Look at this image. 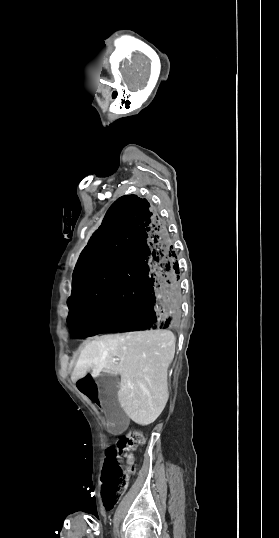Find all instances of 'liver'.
<instances>
[{"label":"liver","instance_id":"1","mask_svg":"<svg viewBox=\"0 0 279 538\" xmlns=\"http://www.w3.org/2000/svg\"><path fill=\"white\" fill-rule=\"evenodd\" d=\"M174 354L175 336L170 330L109 334L85 346L73 378H84L89 368L92 378L101 372L119 374L121 408L135 424L148 426L167 404V372Z\"/></svg>","mask_w":279,"mask_h":538}]
</instances>
